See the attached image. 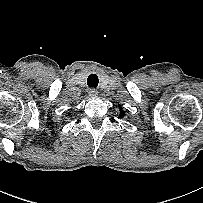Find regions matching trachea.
<instances>
[{"label":"trachea","mask_w":203,"mask_h":203,"mask_svg":"<svg viewBox=\"0 0 203 203\" xmlns=\"http://www.w3.org/2000/svg\"><path fill=\"white\" fill-rule=\"evenodd\" d=\"M98 82H99L98 77L95 74H91L87 79V85L89 87H94V88L97 87Z\"/></svg>","instance_id":"1"}]
</instances>
